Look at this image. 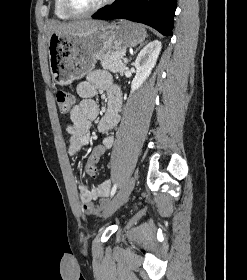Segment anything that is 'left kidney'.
Returning a JSON list of instances; mask_svg holds the SVG:
<instances>
[{
	"label": "left kidney",
	"instance_id": "1",
	"mask_svg": "<svg viewBox=\"0 0 247 280\" xmlns=\"http://www.w3.org/2000/svg\"><path fill=\"white\" fill-rule=\"evenodd\" d=\"M162 44L158 40L148 43L138 54L134 66L136 75L131 84V93L139 89L151 74L160 54Z\"/></svg>",
	"mask_w": 247,
	"mask_h": 280
}]
</instances>
